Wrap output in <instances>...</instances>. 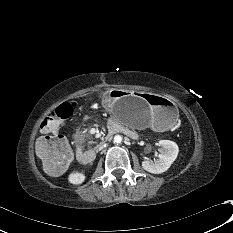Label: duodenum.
<instances>
[{
    "instance_id": "410a0bca",
    "label": "duodenum",
    "mask_w": 233,
    "mask_h": 233,
    "mask_svg": "<svg viewBox=\"0 0 233 233\" xmlns=\"http://www.w3.org/2000/svg\"><path fill=\"white\" fill-rule=\"evenodd\" d=\"M125 134L128 136L132 135V132L130 130H128L127 128L117 124V123H111L108 129V132L104 138V142H107L108 140H110L115 134ZM96 154L97 152L95 150H87L84 151L82 149L78 150V160L82 163V164H89L91 162H93L96 158Z\"/></svg>"
}]
</instances>
